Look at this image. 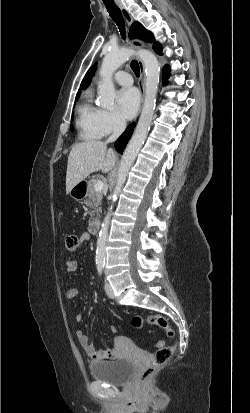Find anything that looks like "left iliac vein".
<instances>
[{
  "label": "left iliac vein",
  "instance_id": "left-iliac-vein-1",
  "mask_svg": "<svg viewBox=\"0 0 250 413\" xmlns=\"http://www.w3.org/2000/svg\"><path fill=\"white\" fill-rule=\"evenodd\" d=\"M105 291H106V294H107L110 298H113V297H114L113 289H112L110 283H109L107 280L105 281Z\"/></svg>",
  "mask_w": 250,
  "mask_h": 413
}]
</instances>
